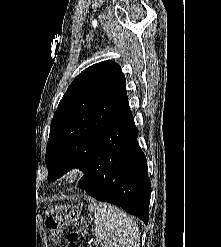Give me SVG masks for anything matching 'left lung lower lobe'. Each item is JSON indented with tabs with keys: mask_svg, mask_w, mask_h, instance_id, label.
Here are the masks:
<instances>
[{
	"mask_svg": "<svg viewBox=\"0 0 221 247\" xmlns=\"http://www.w3.org/2000/svg\"><path fill=\"white\" fill-rule=\"evenodd\" d=\"M132 114L110 125L92 154L79 188L148 223L151 183Z\"/></svg>",
	"mask_w": 221,
	"mask_h": 247,
	"instance_id": "1",
	"label": "left lung lower lobe"
}]
</instances>
